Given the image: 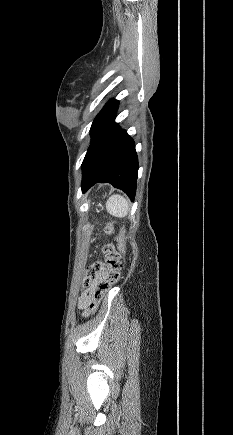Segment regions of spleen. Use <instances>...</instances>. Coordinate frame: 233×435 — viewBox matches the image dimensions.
I'll return each mask as SVG.
<instances>
[{
    "label": "spleen",
    "instance_id": "spleen-1",
    "mask_svg": "<svg viewBox=\"0 0 233 435\" xmlns=\"http://www.w3.org/2000/svg\"><path fill=\"white\" fill-rule=\"evenodd\" d=\"M106 209L112 216L125 217L129 212V204L123 196L114 194L107 200Z\"/></svg>",
    "mask_w": 233,
    "mask_h": 435
}]
</instances>
